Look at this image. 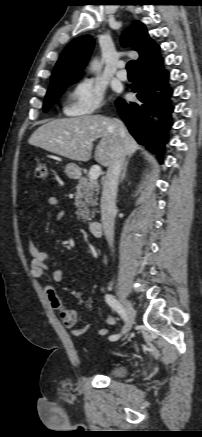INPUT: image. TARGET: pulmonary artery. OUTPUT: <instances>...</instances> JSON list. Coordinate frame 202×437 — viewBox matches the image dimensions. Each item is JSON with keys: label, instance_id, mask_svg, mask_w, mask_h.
<instances>
[{"label": "pulmonary artery", "instance_id": "obj_1", "mask_svg": "<svg viewBox=\"0 0 202 437\" xmlns=\"http://www.w3.org/2000/svg\"><path fill=\"white\" fill-rule=\"evenodd\" d=\"M125 64L124 62H119L118 64V70L116 72V76L120 79V80H126L127 79V72L124 69Z\"/></svg>", "mask_w": 202, "mask_h": 437}]
</instances>
